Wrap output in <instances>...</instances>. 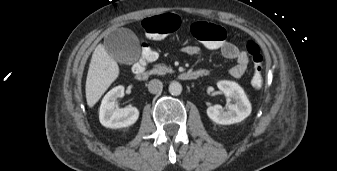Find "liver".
I'll return each mask as SVG.
<instances>
[{
  "label": "liver",
  "mask_w": 337,
  "mask_h": 171,
  "mask_svg": "<svg viewBox=\"0 0 337 171\" xmlns=\"http://www.w3.org/2000/svg\"><path fill=\"white\" fill-rule=\"evenodd\" d=\"M119 66L102 44L95 48L86 79V100L93 107L109 86L117 79Z\"/></svg>",
  "instance_id": "obj_1"
}]
</instances>
